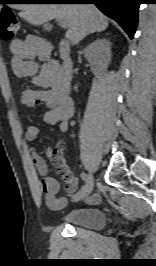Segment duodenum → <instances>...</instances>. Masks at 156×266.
I'll return each instance as SVG.
<instances>
[{
    "instance_id": "obj_1",
    "label": "duodenum",
    "mask_w": 156,
    "mask_h": 266,
    "mask_svg": "<svg viewBox=\"0 0 156 266\" xmlns=\"http://www.w3.org/2000/svg\"><path fill=\"white\" fill-rule=\"evenodd\" d=\"M41 50L48 55L50 53V46L44 44L42 45ZM58 51L61 57V64L58 66L59 78L61 82L69 88L73 70L69 42L67 40H61L58 45Z\"/></svg>"
}]
</instances>
